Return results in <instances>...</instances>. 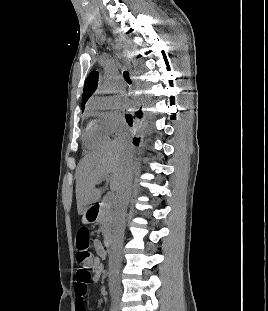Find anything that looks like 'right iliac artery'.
<instances>
[{
  "label": "right iliac artery",
  "mask_w": 268,
  "mask_h": 311,
  "mask_svg": "<svg viewBox=\"0 0 268 311\" xmlns=\"http://www.w3.org/2000/svg\"><path fill=\"white\" fill-rule=\"evenodd\" d=\"M110 311H116V308H115V306H114V304H113V303H111V306H110Z\"/></svg>",
  "instance_id": "1"
}]
</instances>
